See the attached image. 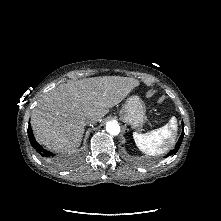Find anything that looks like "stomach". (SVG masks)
<instances>
[{
  "label": "stomach",
  "instance_id": "0dacf381",
  "mask_svg": "<svg viewBox=\"0 0 221 221\" xmlns=\"http://www.w3.org/2000/svg\"><path fill=\"white\" fill-rule=\"evenodd\" d=\"M146 108L144 102L138 96H130L122 106L119 116L120 119L136 129L141 127L146 120Z\"/></svg>",
  "mask_w": 221,
  "mask_h": 221
}]
</instances>
